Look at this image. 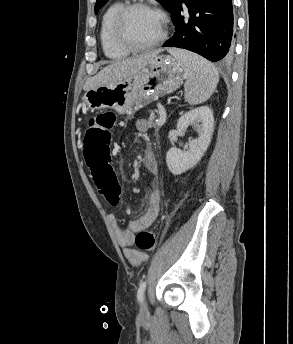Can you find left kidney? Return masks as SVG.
I'll list each match as a JSON object with an SVG mask.
<instances>
[{"label":"left kidney","instance_id":"left-kidney-1","mask_svg":"<svg viewBox=\"0 0 293 344\" xmlns=\"http://www.w3.org/2000/svg\"><path fill=\"white\" fill-rule=\"evenodd\" d=\"M189 125L197 128L198 138L189 142L187 151L171 147L166 154L168 169L174 175H180L194 167L206 152L214 128L212 110L208 106H201L186 112L179 118L177 130L185 132Z\"/></svg>","mask_w":293,"mask_h":344}]
</instances>
